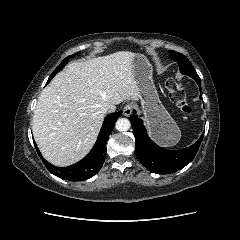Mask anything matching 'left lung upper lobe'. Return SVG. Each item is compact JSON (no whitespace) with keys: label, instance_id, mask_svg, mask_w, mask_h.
<instances>
[{"label":"left lung upper lobe","instance_id":"left-lung-upper-lobe-1","mask_svg":"<svg viewBox=\"0 0 240 240\" xmlns=\"http://www.w3.org/2000/svg\"><path fill=\"white\" fill-rule=\"evenodd\" d=\"M171 59L176 61L179 65L180 72L184 75H188L190 77H197L198 74L196 73L194 67L190 63V61L187 59L186 56H184L181 53L175 52V51H169Z\"/></svg>","mask_w":240,"mask_h":240}]
</instances>
